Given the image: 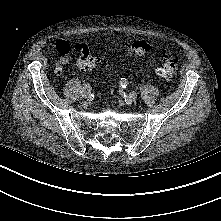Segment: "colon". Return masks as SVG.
<instances>
[{
	"instance_id": "colon-1",
	"label": "colon",
	"mask_w": 221,
	"mask_h": 221,
	"mask_svg": "<svg viewBox=\"0 0 221 221\" xmlns=\"http://www.w3.org/2000/svg\"><path fill=\"white\" fill-rule=\"evenodd\" d=\"M151 46L142 40L134 41L130 44L128 51L133 57H141L150 52ZM81 68L90 71L94 69L98 63V58L89 54V52L83 54L80 57ZM178 69V60L171 56H164L162 64L157 69L160 76L170 79Z\"/></svg>"
}]
</instances>
